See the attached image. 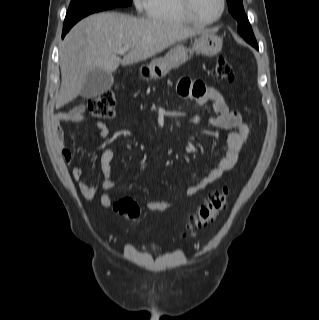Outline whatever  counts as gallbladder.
Masks as SVG:
<instances>
[{
	"label": "gallbladder",
	"mask_w": 319,
	"mask_h": 320,
	"mask_svg": "<svg viewBox=\"0 0 319 320\" xmlns=\"http://www.w3.org/2000/svg\"><path fill=\"white\" fill-rule=\"evenodd\" d=\"M113 83L111 73L95 69L86 75L80 95L84 98H94L109 90Z\"/></svg>",
	"instance_id": "gallbladder-1"
}]
</instances>
